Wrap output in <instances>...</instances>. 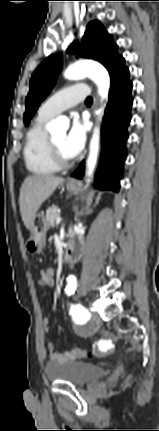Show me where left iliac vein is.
<instances>
[{
    "label": "left iliac vein",
    "mask_w": 159,
    "mask_h": 431,
    "mask_svg": "<svg viewBox=\"0 0 159 431\" xmlns=\"http://www.w3.org/2000/svg\"><path fill=\"white\" fill-rule=\"evenodd\" d=\"M100 322H101V320H100L99 315H98L97 313H94V314L92 315V318H91V323H92L93 325H99V324H100Z\"/></svg>",
    "instance_id": "left-iliac-vein-1"
}]
</instances>
